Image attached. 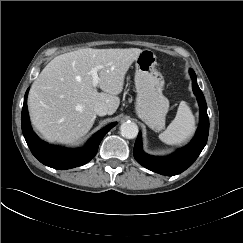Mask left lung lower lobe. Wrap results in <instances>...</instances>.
Masks as SVG:
<instances>
[{
  "label": "left lung lower lobe",
  "instance_id": "0a47b994",
  "mask_svg": "<svg viewBox=\"0 0 243 243\" xmlns=\"http://www.w3.org/2000/svg\"><path fill=\"white\" fill-rule=\"evenodd\" d=\"M190 75L193 81V91L200 107V123L193 140L186 147L165 157H155L144 153L140 133L134 145V158L136 161L145 168L162 175L173 176L185 171L194 163L207 142L209 119L206 101L197 84L196 75L192 69H190Z\"/></svg>",
  "mask_w": 243,
  "mask_h": 243
}]
</instances>
